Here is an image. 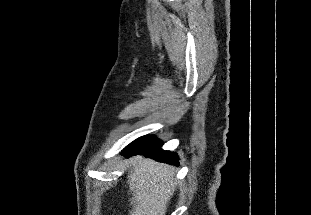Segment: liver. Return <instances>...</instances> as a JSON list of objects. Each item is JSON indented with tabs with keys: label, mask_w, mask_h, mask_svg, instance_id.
<instances>
[{
	"label": "liver",
	"mask_w": 311,
	"mask_h": 215,
	"mask_svg": "<svg viewBox=\"0 0 311 215\" xmlns=\"http://www.w3.org/2000/svg\"><path fill=\"white\" fill-rule=\"evenodd\" d=\"M128 176L130 215H165L176 188L171 166L136 156Z\"/></svg>",
	"instance_id": "1"
}]
</instances>
